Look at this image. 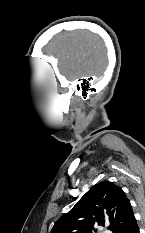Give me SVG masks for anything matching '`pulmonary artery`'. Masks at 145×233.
Returning a JSON list of instances; mask_svg holds the SVG:
<instances>
[{"mask_svg":"<svg viewBox=\"0 0 145 233\" xmlns=\"http://www.w3.org/2000/svg\"><path fill=\"white\" fill-rule=\"evenodd\" d=\"M102 233H111V231L104 230Z\"/></svg>","mask_w":145,"mask_h":233,"instance_id":"1","label":"pulmonary artery"}]
</instances>
